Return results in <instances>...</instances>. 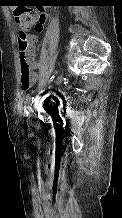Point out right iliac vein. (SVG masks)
<instances>
[{
	"label": "right iliac vein",
	"mask_w": 122,
	"mask_h": 218,
	"mask_svg": "<svg viewBox=\"0 0 122 218\" xmlns=\"http://www.w3.org/2000/svg\"><path fill=\"white\" fill-rule=\"evenodd\" d=\"M31 108L29 109V112H28V119L30 120V118H31Z\"/></svg>",
	"instance_id": "right-iliac-vein-1"
}]
</instances>
